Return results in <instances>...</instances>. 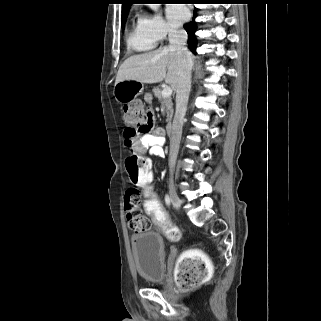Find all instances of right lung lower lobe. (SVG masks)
<instances>
[{
  "mask_svg": "<svg viewBox=\"0 0 321 321\" xmlns=\"http://www.w3.org/2000/svg\"><path fill=\"white\" fill-rule=\"evenodd\" d=\"M195 1H199V0H195ZM196 9L194 10V17L192 19V21L186 23L184 25V29L187 31L188 33V44H189V48L191 49V51H195L196 47H197V39L195 36V31L197 28V23L195 22V17H196Z\"/></svg>",
  "mask_w": 321,
  "mask_h": 321,
  "instance_id": "obj_1",
  "label": "right lung lower lobe"
}]
</instances>
